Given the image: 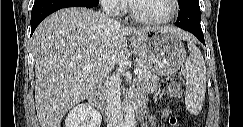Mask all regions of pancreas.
<instances>
[{
	"instance_id": "pancreas-1",
	"label": "pancreas",
	"mask_w": 243,
	"mask_h": 127,
	"mask_svg": "<svg viewBox=\"0 0 243 127\" xmlns=\"http://www.w3.org/2000/svg\"><path fill=\"white\" fill-rule=\"evenodd\" d=\"M137 68L142 70L141 77L147 81L157 82L159 80L158 76L154 73L152 68L143 60L137 62Z\"/></svg>"
}]
</instances>
